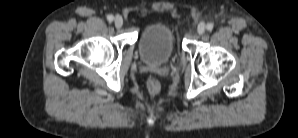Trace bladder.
Listing matches in <instances>:
<instances>
[{
  "label": "bladder",
  "mask_w": 298,
  "mask_h": 138,
  "mask_svg": "<svg viewBox=\"0 0 298 138\" xmlns=\"http://www.w3.org/2000/svg\"><path fill=\"white\" fill-rule=\"evenodd\" d=\"M177 37L174 27L165 21L147 24L140 33L138 48L141 58L148 64L166 63L176 50Z\"/></svg>",
  "instance_id": "31cf9c89"
}]
</instances>
